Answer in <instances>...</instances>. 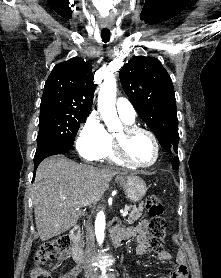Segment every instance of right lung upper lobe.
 Returning a JSON list of instances; mask_svg holds the SVG:
<instances>
[{"label": "right lung upper lobe", "instance_id": "1", "mask_svg": "<svg viewBox=\"0 0 221 278\" xmlns=\"http://www.w3.org/2000/svg\"><path fill=\"white\" fill-rule=\"evenodd\" d=\"M94 90L92 66L74 57L53 68L44 86L40 109L89 114Z\"/></svg>", "mask_w": 221, "mask_h": 278}]
</instances>
